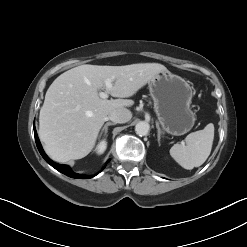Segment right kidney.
Masks as SVG:
<instances>
[{"mask_svg": "<svg viewBox=\"0 0 247 247\" xmlns=\"http://www.w3.org/2000/svg\"><path fill=\"white\" fill-rule=\"evenodd\" d=\"M106 148H107V141L103 140L97 145L95 150H96V153L100 155L105 152Z\"/></svg>", "mask_w": 247, "mask_h": 247, "instance_id": "right-kidney-1", "label": "right kidney"}]
</instances>
